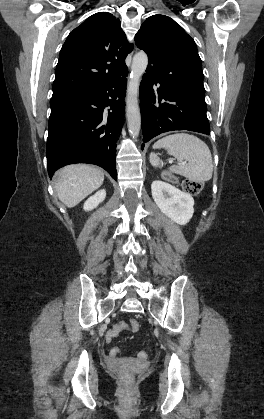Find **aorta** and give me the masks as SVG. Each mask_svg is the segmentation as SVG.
Returning a JSON list of instances; mask_svg holds the SVG:
<instances>
[{
  "mask_svg": "<svg viewBox=\"0 0 264 419\" xmlns=\"http://www.w3.org/2000/svg\"><path fill=\"white\" fill-rule=\"evenodd\" d=\"M147 65L148 56L145 52L140 51L134 55L126 97V116L128 121V130L133 138L138 136L141 128V117L138 106V90L140 78L145 72Z\"/></svg>",
  "mask_w": 264,
  "mask_h": 419,
  "instance_id": "aorta-1",
  "label": "aorta"
}]
</instances>
